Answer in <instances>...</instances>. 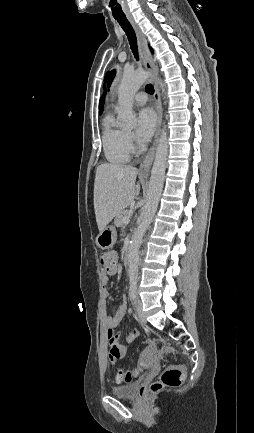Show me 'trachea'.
I'll return each instance as SVG.
<instances>
[{
	"instance_id": "3493384b",
	"label": "trachea",
	"mask_w": 254,
	"mask_h": 433,
	"mask_svg": "<svg viewBox=\"0 0 254 433\" xmlns=\"http://www.w3.org/2000/svg\"><path fill=\"white\" fill-rule=\"evenodd\" d=\"M117 20V22L120 24V26L122 27V29L125 31L131 50L135 56V58L138 60L139 56H138V48H137V39H136V35L135 32L131 26V24L129 23V21L127 20V18H115ZM146 91L149 92L150 94L154 93V88L151 84H147L146 85Z\"/></svg>"
}]
</instances>
